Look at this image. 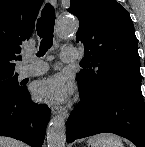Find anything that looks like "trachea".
Listing matches in <instances>:
<instances>
[{"mask_svg":"<svg viewBox=\"0 0 145 147\" xmlns=\"http://www.w3.org/2000/svg\"><path fill=\"white\" fill-rule=\"evenodd\" d=\"M55 10L51 4H46L37 20V33L42 39L38 56H43L53 44Z\"/></svg>","mask_w":145,"mask_h":147,"instance_id":"1","label":"trachea"}]
</instances>
